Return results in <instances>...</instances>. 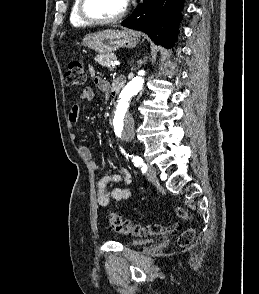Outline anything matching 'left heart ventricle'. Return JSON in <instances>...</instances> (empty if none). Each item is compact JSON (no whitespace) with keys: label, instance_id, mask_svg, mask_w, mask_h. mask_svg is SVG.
Listing matches in <instances>:
<instances>
[{"label":"left heart ventricle","instance_id":"left-heart-ventricle-1","mask_svg":"<svg viewBox=\"0 0 259 294\" xmlns=\"http://www.w3.org/2000/svg\"><path fill=\"white\" fill-rule=\"evenodd\" d=\"M125 4L123 0H87L86 11L95 18H110L119 14Z\"/></svg>","mask_w":259,"mask_h":294}]
</instances>
